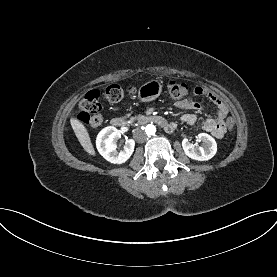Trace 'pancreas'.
Masks as SVG:
<instances>
[{
    "label": "pancreas",
    "instance_id": "obj_1",
    "mask_svg": "<svg viewBox=\"0 0 277 277\" xmlns=\"http://www.w3.org/2000/svg\"><path fill=\"white\" fill-rule=\"evenodd\" d=\"M130 120L134 121V120H136V117H131Z\"/></svg>",
    "mask_w": 277,
    "mask_h": 277
}]
</instances>
